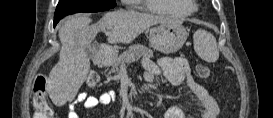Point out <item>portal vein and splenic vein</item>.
Masks as SVG:
<instances>
[{"instance_id": "18ae733b", "label": "portal vein and splenic vein", "mask_w": 273, "mask_h": 118, "mask_svg": "<svg viewBox=\"0 0 273 118\" xmlns=\"http://www.w3.org/2000/svg\"><path fill=\"white\" fill-rule=\"evenodd\" d=\"M105 34H108V32L105 31ZM125 68V67H124Z\"/></svg>"}]
</instances>
